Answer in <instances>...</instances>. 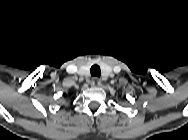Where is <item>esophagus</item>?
<instances>
[{
  "mask_svg": "<svg viewBox=\"0 0 188 140\" xmlns=\"http://www.w3.org/2000/svg\"><path fill=\"white\" fill-rule=\"evenodd\" d=\"M101 79H99V78H97V77H95V78H93V80H92V84L94 85V86H100L101 85Z\"/></svg>",
  "mask_w": 188,
  "mask_h": 140,
  "instance_id": "esophagus-1",
  "label": "esophagus"
}]
</instances>
